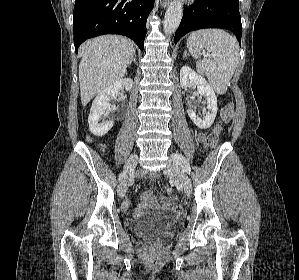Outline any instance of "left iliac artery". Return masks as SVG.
<instances>
[{
    "label": "left iliac artery",
    "mask_w": 299,
    "mask_h": 280,
    "mask_svg": "<svg viewBox=\"0 0 299 280\" xmlns=\"http://www.w3.org/2000/svg\"><path fill=\"white\" fill-rule=\"evenodd\" d=\"M173 159L181 166L183 171L190 174L191 168L187 159L181 154H174Z\"/></svg>",
    "instance_id": "1"
}]
</instances>
